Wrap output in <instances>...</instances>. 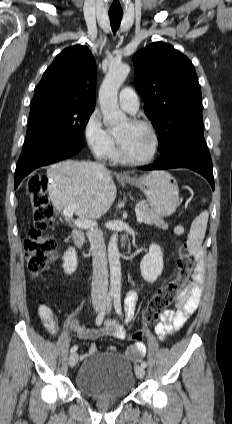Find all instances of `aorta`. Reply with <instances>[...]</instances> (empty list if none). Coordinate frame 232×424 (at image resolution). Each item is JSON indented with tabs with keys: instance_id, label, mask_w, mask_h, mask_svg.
Instances as JSON below:
<instances>
[{
	"instance_id": "762f6f07",
	"label": "aorta",
	"mask_w": 232,
	"mask_h": 424,
	"mask_svg": "<svg viewBox=\"0 0 232 424\" xmlns=\"http://www.w3.org/2000/svg\"><path fill=\"white\" fill-rule=\"evenodd\" d=\"M130 72L127 64H113L103 80L99 90V102L103 113V122L107 127H117L126 123L127 116L118 106V90ZM118 234L114 233L108 244V261L110 267V292L121 291V264L118 250Z\"/></svg>"
}]
</instances>
